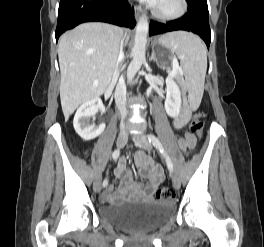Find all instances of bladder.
I'll return each instance as SVG.
<instances>
[{
	"label": "bladder",
	"instance_id": "obj_1",
	"mask_svg": "<svg viewBox=\"0 0 264 247\" xmlns=\"http://www.w3.org/2000/svg\"><path fill=\"white\" fill-rule=\"evenodd\" d=\"M174 205L165 201L122 202L98 208L99 218L129 233L155 230L173 217Z\"/></svg>",
	"mask_w": 264,
	"mask_h": 247
}]
</instances>
